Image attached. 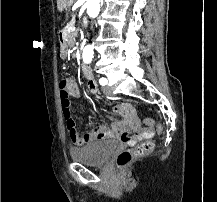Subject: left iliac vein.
Segmentation results:
<instances>
[{"instance_id": "obj_1", "label": "left iliac vein", "mask_w": 217, "mask_h": 202, "mask_svg": "<svg viewBox=\"0 0 217 202\" xmlns=\"http://www.w3.org/2000/svg\"><path fill=\"white\" fill-rule=\"evenodd\" d=\"M103 92H104L106 95H108V96H112V95H113V92H112V90H111V88H110L109 86H105V87L103 88Z\"/></svg>"}]
</instances>
